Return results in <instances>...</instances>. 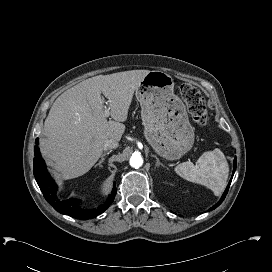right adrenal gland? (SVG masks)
<instances>
[{
    "label": "right adrenal gland",
    "instance_id": "right-adrenal-gland-1",
    "mask_svg": "<svg viewBox=\"0 0 272 272\" xmlns=\"http://www.w3.org/2000/svg\"><path fill=\"white\" fill-rule=\"evenodd\" d=\"M107 154H109V152H105V153L102 154L100 161L95 165V167H97V166L102 167V163L104 162L105 156H106Z\"/></svg>",
    "mask_w": 272,
    "mask_h": 272
}]
</instances>
